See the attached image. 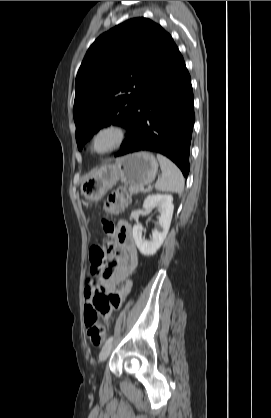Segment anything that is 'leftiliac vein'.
I'll return each instance as SVG.
<instances>
[{
	"label": "left iliac vein",
	"mask_w": 271,
	"mask_h": 418,
	"mask_svg": "<svg viewBox=\"0 0 271 418\" xmlns=\"http://www.w3.org/2000/svg\"><path fill=\"white\" fill-rule=\"evenodd\" d=\"M112 350V343L105 345L99 354V361L104 362L110 355Z\"/></svg>",
	"instance_id": "left-iliac-vein-1"
}]
</instances>
